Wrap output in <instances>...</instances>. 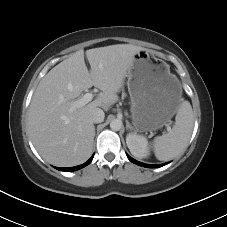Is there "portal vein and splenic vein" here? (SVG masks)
Masks as SVG:
<instances>
[{
	"label": "portal vein and splenic vein",
	"instance_id": "18ae733b",
	"mask_svg": "<svg viewBox=\"0 0 227 227\" xmlns=\"http://www.w3.org/2000/svg\"><path fill=\"white\" fill-rule=\"evenodd\" d=\"M92 99H93V94L92 93H86L83 97L77 99L73 103V106L77 107V108L82 107V106L86 105L87 103H89ZM167 130L170 131L171 127L168 126Z\"/></svg>",
	"mask_w": 227,
	"mask_h": 227
}]
</instances>
